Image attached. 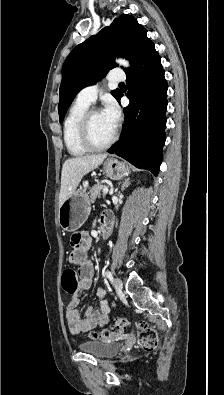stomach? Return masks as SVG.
I'll return each mask as SVG.
<instances>
[{"label": "stomach", "instance_id": "1", "mask_svg": "<svg viewBox=\"0 0 224 395\" xmlns=\"http://www.w3.org/2000/svg\"><path fill=\"white\" fill-rule=\"evenodd\" d=\"M103 170L113 180L122 179L130 173V169L126 163L114 158L107 159L104 162ZM90 210L88 195L83 190H77L59 206V225L65 231H76L87 220Z\"/></svg>", "mask_w": 224, "mask_h": 395}]
</instances>
